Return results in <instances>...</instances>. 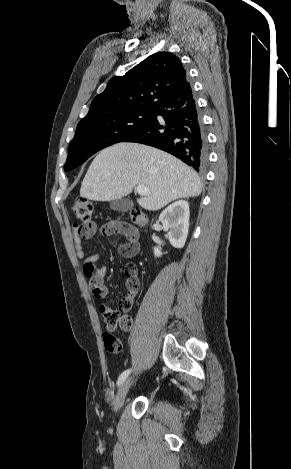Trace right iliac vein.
<instances>
[{"label":"right iliac vein","mask_w":291,"mask_h":469,"mask_svg":"<svg viewBox=\"0 0 291 469\" xmlns=\"http://www.w3.org/2000/svg\"><path fill=\"white\" fill-rule=\"evenodd\" d=\"M130 382H131V379H127L125 381L122 382L118 392H117V396H116V399H115V402H114V411L115 412H118L123 404H124V400H125V397L128 393V390H129V387H130Z\"/></svg>","instance_id":"1"}]
</instances>
